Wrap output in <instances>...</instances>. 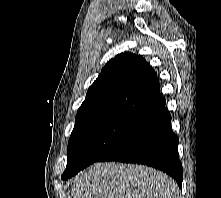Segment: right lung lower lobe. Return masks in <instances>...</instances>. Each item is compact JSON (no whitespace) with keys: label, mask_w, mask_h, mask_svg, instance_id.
<instances>
[{"label":"right lung lower lobe","mask_w":221,"mask_h":198,"mask_svg":"<svg viewBox=\"0 0 221 198\" xmlns=\"http://www.w3.org/2000/svg\"><path fill=\"white\" fill-rule=\"evenodd\" d=\"M170 124L171 116L164 105L98 161L151 166L172 176L181 187L183 173L178 156V137L171 130Z\"/></svg>","instance_id":"98d812e1"}]
</instances>
